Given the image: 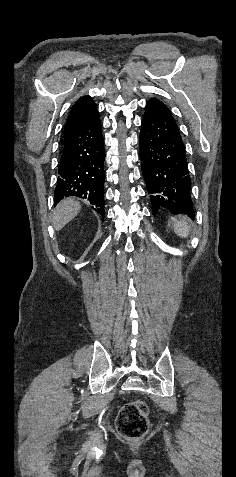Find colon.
Listing matches in <instances>:
<instances>
[{"label":"colon","instance_id":"obj_1","mask_svg":"<svg viewBox=\"0 0 236 477\" xmlns=\"http://www.w3.org/2000/svg\"><path fill=\"white\" fill-rule=\"evenodd\" d=\"M118 433L126 439H140L149 430L148 408L143 401L135 400L125 404L116 419Z\"/></svg>","mask_w":236,"mask_h":477}]
</instances>
